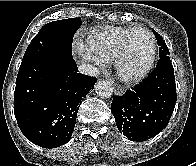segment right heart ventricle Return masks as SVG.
<instances>
[{
    "label": "right heart ventricle",
    "instance_id": "obj_1",
    "mask_svg": "<svg viewBox=\"0 0 196 166\" xmlns=\"http://www.w3.org/2000/svg\"><path fill=\"white\" fill-rule=\"evenodd\" d=\"M132 29L115 26L102 28L90 36L87 46L105 63L114 61L121 50L125 37Z\"/></svg>",
    "mask_w": 196,
    "mask_h": 166
}]
</instances>
